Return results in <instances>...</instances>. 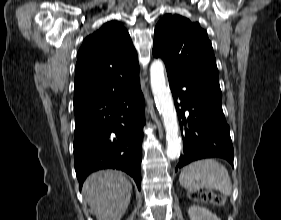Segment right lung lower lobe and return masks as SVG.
Wrapping results in <instances>:
<instances>
[{
    "instance_id": "right-lung-lower-lobe-1",
    "label": "right lung lower lobe",
    "mask_w": 281,
    "mask_h": 220,
    "mask_svg": "<svg viewBox=\"0 0 281 220\" xmlns=\"http://www.w3.org/2000/svg\"><path fill=\"white\" fill-rule=\"evenodd\" d=\"M74 113V166L80 189L90 173L107 168L125 171L140 189L145 118L139 79Z\"/></svg>"
}]
</instances>
